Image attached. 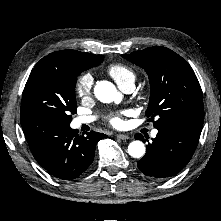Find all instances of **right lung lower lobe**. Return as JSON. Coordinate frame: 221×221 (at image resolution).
<instances>
[{"instance_id": "98d812e1", "label": "right lung lower lobe", "mask_w": 221, "mask_h": 221, "mask_svg": "<svg viewBox=\"0 0 221 221\" xmlns=\"http://www.w3.org/2000/svg\"><path fill=\"white\" fill-rule=\"evenodd\" d=\"M21 126L37 162L65 180L79 177L91 165L97 142L107 137L94 131L79 135L69 124L43 117L21 118Z\"/></svg>"}]
</instances>
